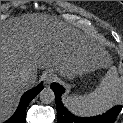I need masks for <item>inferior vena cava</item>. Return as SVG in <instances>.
<instances>
[{"label": "inferior vena cava", "mask_w": 123, "mask_h": 123, "mask_svg": "<svg viewBox=\"0 0 123 123\" xmlns=\"http://www.w3.org/2000/svg\"><path fill=\"white\" fill-rule=\"evenodd\" d=\"M21 78H22L24 81H29L30 78H31V75H30L28 72H24V73H22Z\"/></svg>", "instance_id": "602c4592"}]
</instances>
